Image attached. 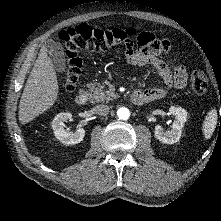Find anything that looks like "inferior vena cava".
Wrapping results in <instances>:
<instances>
[{
  "instance_id": "inferior-vena-cava-1",
  "label": "inferior vena cava",
  "mask_w": 221,
  "mask_h": 221,
  "mask_svg": "<svg viewBox=\"0 0 221 221\" xmlns=\"http://www.w3.org/2000/svg\"><path fill=\"white\" fill-rule=\"evenodd\" d=\"M109 110H110L109 106L104 105V104L97 105L95 107L96 114L101 115V116H106L109 113Z\"/></svg>"
}]
</instances>
